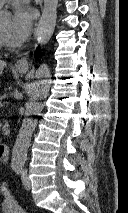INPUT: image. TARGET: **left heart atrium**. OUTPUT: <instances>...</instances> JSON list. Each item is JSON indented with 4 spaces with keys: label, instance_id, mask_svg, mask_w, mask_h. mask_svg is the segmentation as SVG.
I'll return each instance as SVG.
<instances>
[{
    "label": "left heart atrium",
    "instance_id": "39dd6f15",
    "mask_svg": "<svg viewBox=\"0 0 128 213\" xmlns=\"http://www.w3.org/2000/svg\"><path fill=\"white\" fill-rule=\"evenodd\" d=\"M33 14L29 8L17 5L13 11L10 38L16 45L24 43L30 35Z\"/></svg>",
    "mask_w": 128,
    "mask_h": 213
}]
</instances>
